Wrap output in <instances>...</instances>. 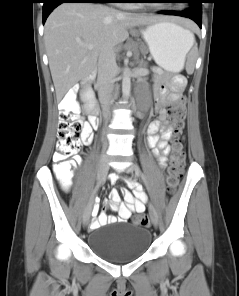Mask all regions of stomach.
Instances as JSON below:
<instances>
[{"mask_svg": "<svg viewBox=\"0 0 239 296\" xmlns=\"http://www.w3.org/2000/svg\"><path fill=\"white\" fill-rule=\"evenodd\" d=\"M189 30L168 21H158L141 29L148 49L161 68L167 72L182 70L192 42Z\"/></svg>", "mask_w": 239, "mask_h": 296, "instance_id": "0dacf381", "label": "stomach"}]
</instances>
